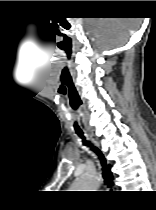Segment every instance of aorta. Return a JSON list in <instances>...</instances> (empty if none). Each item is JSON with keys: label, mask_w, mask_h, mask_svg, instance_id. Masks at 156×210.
Returning <instances> with one entry per match:
<instances>
[{"label": "aorta", "mask_w": 156, "mask_h": 210, "mask_svg": "<svg viewBox=\"0 0 156 210\" xmlns=\"http://www.w3.org/2000/svg\"><path fill=\"white\" fill-rule=\"evenodd\" d=\"M99 183L100 178L97 172L86 171L73 184V189H78V191H89L91 189H97Z\"/></svg>", "instance_id": "762f6f07"}]
</instances>
